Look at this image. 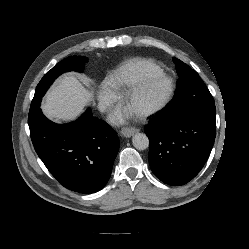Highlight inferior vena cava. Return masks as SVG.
<instances>
[{"label": "inferior vena cava", "instance_id": "1", "mask_svg": "<svg viewBox=\"0 0 249 249\" xmlns=\"http://www.w3.org/2000/svg\"><path fill=\"white\" fill-rule=\"evenodd\" d=\"M111 103L109 101H101L98 104V109L100 112H105L108 108V106H110Z\"/></svg>", "mask_w": 249, "mask_h": 249}]
</instances>
